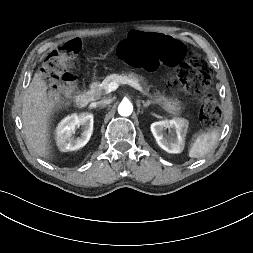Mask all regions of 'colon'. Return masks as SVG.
Here are the masks:
<instances>
[{
    "mask_svg": "<svg viewBox=\"0 0 253 253\" xmlns=\"http://www.w3.org/2000/svg\"><path fill=\"white\" fill-rule=\"evenodd\" d=\"M81 50V42L72 40L45 57L42 76L50 92L62 97L75 90V78L67 68L75 63ZM156 52L166 63L177 66L168 88L175 92L201 93L200 118L207 127H216L221 110L217 100L204 92L211 81V69L204 58L187 50L182 42L158 34L132 33L119 46V54L126 63L145 69L154 67Z\"/></svg>",
    "mask_w": 253,
    "mask_h": 253,
    "instance_id": "1",
    "label": "colon"
}]
</instances>
